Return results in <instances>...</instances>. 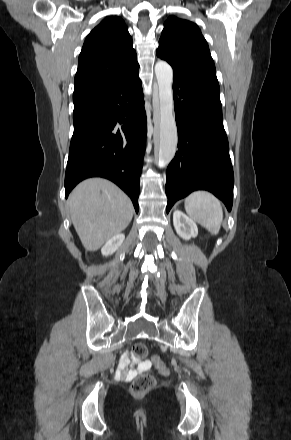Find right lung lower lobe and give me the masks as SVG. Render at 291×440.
Returning <instances> with one entry per match:
<instances>
[{
	"mask_svg": "<svg viewBox=\"0 0 291 440\" xmlns=\"http://www.w3.org/2000/svg\"><path fill=\"white\" fill-rule=\"evenodd\" d=\"M74 133L65 173V196L89 177L116 183L138 212L139 178L146 147V113L139 70L117 81L75 89Z\"/></svg>",
	"mask_w": 291,
	"mask_h": 440,
	"instance_id": "1",
	"label": "right lung lower lobe"
}]
</instances>
